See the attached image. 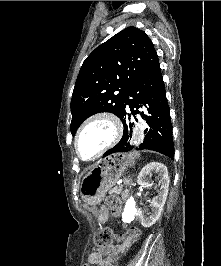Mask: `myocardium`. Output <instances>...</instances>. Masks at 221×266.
Here are the masks:
<instances>
[{"label":"myocardium","instance_id":"f54148a6","mask_svg":"<svg viewBox=\"0 0 221 266\" xmlns=\"http://www.w3.org/2000/svg\"><path fill=\"white\" fill-rule=\"evenodd\" d=\"M99 119H105L111 123L113 130H114L113 136H112L111 140L100 151H98L94 156H92L90 158H84L80 154V151H79V147H78L79 138L88 125H90L92 122L99 120ZM122 134H123L122 122L120 121V119L115 114H113L111 112L95 113V114L91 115L89 118H87L84 121V123L81 125V127L79 128V130L75 136V140H74L75 152L80 159H82L84 161H93V160L99 158L103 153H105L112 146H114L119 141Z\"/></svg>","mask_w":221,"mask_h":266}]
</instances>
